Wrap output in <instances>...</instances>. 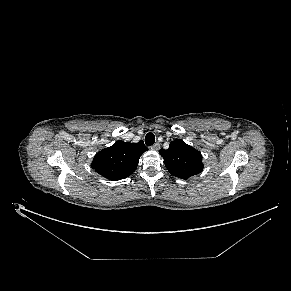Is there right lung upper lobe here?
Instances as JSON below:
<instances>
[{
    "label": "right lung upper lobe",
    "instance_id": "obj_1",
    "mask_svg": "<svg viewBox=\"0 0 291 291\" xmlns=\"http://www.w3.org/2000/svg\"><path fill=\"white\" fill-rule=\"evenodd\" d=\"M146 150L142 140L138 143L119 140L111 147L98 152L91 166L98 174L109 180L124 179L135 171L140 156Z\"/></svg>",
    "mask_w": 291,
    "mask_h": 291
}]
</instances>
